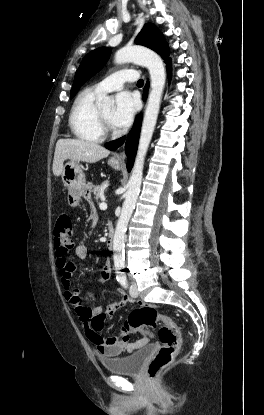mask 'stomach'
<instances>
[{
	"mask_svg": "<svg viewBox=\"0 0 264 415\" xmlns=\"http://www.w3.org/2000/svg\"><path fill=\"white\" fill-rule=\"evenodd\" d=\"M108 164L116 170L122 168V164L112 158L108 160ZM62 181L68 190V204L71 207L78 206L80 198L88 192L90 194L93 188L92 184L86 183L84 172L78 161H69L63 166Z\"/></svg>",
	"mask_w": 264,
	"mask_h": 415,
	"instance_id": "stomach-1",
	"label": "stomach"
}]
</instances>
